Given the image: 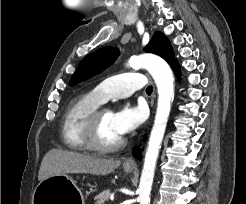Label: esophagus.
I'll list each match as a JSON object with an SVG mask.
<instances>
[{
  "instance_id": "esophagus-1",
  "label": "esophagus",
  "mask_w": 246,
  "mask_h": 204,
  "mask_svg": "<svg viewBox=\"0 0 246 204\" xmlns=\"http://www.w3.org/2000/svg\"><path fill=\"white\" fill-rule=\"evenodd\" d=\"M124 167L127 168H133L136 166L135 160L132 156L128 157L125 161H124Z\"/></svg>"
}]
</instances>
